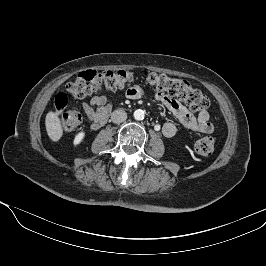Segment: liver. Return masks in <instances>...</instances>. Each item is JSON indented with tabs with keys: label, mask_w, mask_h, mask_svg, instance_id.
<instances>
[{
	"label": "liver",
	"mask_w": 266,
	"mask_h": 266,
	"mask_svg": "<svg viewBox=\"0 0 266 266\" xmlns=\"http://www.w3.org/2000/svg\"><path fill=\"white\" fill-rule=\"evenodd\" d=\"M46 131L49 138L57 142L63 135V128L58 115L52 111L48 112L45 118Z\"/></svg>",
	"instance_id": "6515ba94"
}]
</instances>
